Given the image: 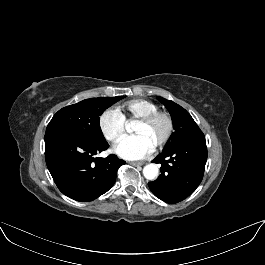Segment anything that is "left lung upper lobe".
Segmentation results:
<instances>
[{"instance_id": "5c2ea615", "label": "left lung upper lobe", "mask_w": 265, "mask_h": 265, "mask_svg": "<svg viewBox=\"0 0 265 265\" xmlns=\"http://www.w3.org/2000/svg\"><path fill=\"white\" fill-rule=\"evenodd\" d=\"M157 99L164 104L171 114L174 132L168 140L165 148H169L179 142L203 134L191 115L180 105L162 97Z\"/></svg>"}]
</instances>
